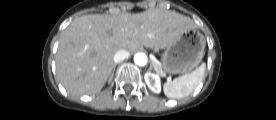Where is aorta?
Segmentation results:
<instances>
[{
  "instance_id": "762f6f07",
  "label": "aorta",
  "mask_w": 276,
  "mask_h": 120,
  "mask_svg": "<svg viewBox=\"0 0 276 120\" xmlns=\"http://www.w3.org/2000/svg\"><path fill=\"white\" fill-rule=\"evenodd\" d=\"M148 58L146 54L138 52L134 55V62L138 66H145L147 64Z\"/></svg>"
}]
</instances>
